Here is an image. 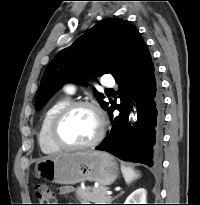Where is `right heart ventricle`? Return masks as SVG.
<instances>
[{
  "label": "right heart ventricle",
  "mask_w": 200,
  "mask_h": 205,
  "mask_svg": "<svg viewBox=\"0 0 200 205\" xmlns=\"http://www.w3.org/2000/svg\"><path fill=\"white\" fill-rule=\"evenodd\" d=\"M68 97H61L55 100L50 106L45 110L39 132H38V142L41 150L47 154H53L60 151V149L52 142L50 137V129L53 122V119L57 113L69 103Z\"/></svg>",
  "instance_id": "e07e8e85"
}]
</instances>
